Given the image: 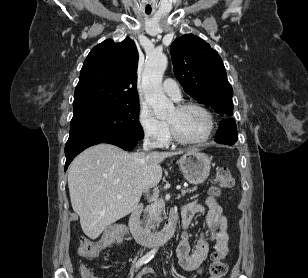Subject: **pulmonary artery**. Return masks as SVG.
Instances as JSON below:
<instances>
[{
    "instance_id": "obj_1",
    "label": "pulmonary artery",
    "mask_w": 308,
    "mask_h": 278,
    "mask_svg": "<svg viewBox=\"0 0 308 278\" xmlns=\"http://www.w3.org/2000/svg\"><path fill=\"white\" fill-rule=\"evenodd\" d=\"M162 90L176 101H178L181 98V93L178 84L172 79H166L163 82Z\"/></svg>"
}]
</instances>
